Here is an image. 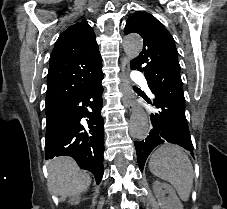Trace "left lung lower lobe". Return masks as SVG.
Returning a JSON list of instances; mask_svg holds the SVG:
<instances>
[{"label": "left lung lower lobe", "mask_w": 227, "mask_h": 209, "mask_svg": "<svg viewBox=\"0 0 227 209\" xmlns=\"http://www.w3.org/2000/svg\"><path fill=\"white\" fill-rule=\"evenodd\" d=\"M151 104L159 109L156 113L151 114L153 128L145 140L134 142L141 171H143L144 164L151 151L156 146L166 142L177 144L190 151L192 156H194L185 117V107L169 98L160 96H155Z\"/></svg>", "instance_id": "1"}]
</instances>
